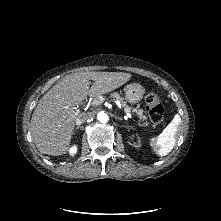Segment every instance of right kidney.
Masks as SVG:
<instances>
[{"label":"right kidney","mask_w":221,"mask_h":221,"mask_svg":"<svg viewBox=\"0 0 221 221\" xmlns=\"http://www.w3.org/2000/svg\"><path fill=\"white\" fill-rule=\"evenodd\" d=\"M70 155H75L77 153V147L74 145L69 150Z\"/></svg>","instance_id":"right-kidney-1"}]
</instances>
